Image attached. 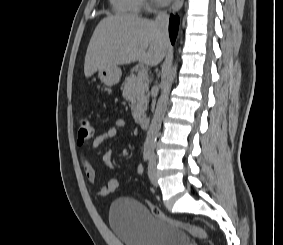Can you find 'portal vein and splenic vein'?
<instances>
[{
  "mask_svg": "<svg viewBox=\"0 0 283 245\" xmlns=\"http://www.w3.org/2000/svg\"><path fill=\"white\" fill-rule=\"evenodd\" d=\"M138 76H139L140 78H147V77H148V72H147L145 69H141V70H139V72H138Z\"/></svg>",
  "mask_w": 283,
  "mask_h": 245,
  "instance_id": "portal-vein-and-splenic-vein-1",
  "label": "portal vein and splenic vein"
}]
</instances>
